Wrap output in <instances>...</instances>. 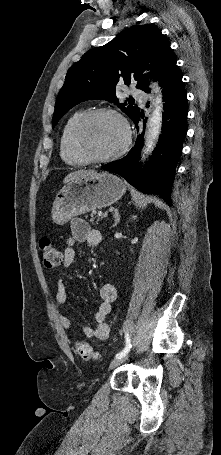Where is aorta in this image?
<instances>
[{
	"label": "aorta",
	"mask_w": 221,
	"mask_h": 455,
	"mask_svg": "<svg viewBox=\"0 0 221 455\" xmlns=\"http://www.w3.org/2000/svg\"><path fill=\"white\" fill-rule=\"evenodd\" d=\"M153 110L147 123V130L145 133V144L142 150V159H145L147 155L154 149L156 142L161 133L162 127V99L160 96H156L153 99Z\"/></svg>",
	"instance_id": "obj_1"
}]
</instances>
